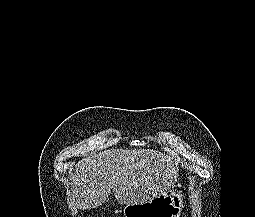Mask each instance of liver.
<instances>
[{
  "label": "liver",
  "instance_id": "obj_1",
  "mask_svg": "<svg viewBox=\"0 0 255 217\" xmlns=\"http://www.w3.org/2000/svg\"><path fill=\"white\" fill-rule=\"evenodd\" d=\"M178 161L150 149H109L76 164L70 174L69 207L101 206L113 191L119 204H142L178 180Z\"/></svg>",
  "mask_w": 255,
  "mask_h": 217
}]
</instances>
